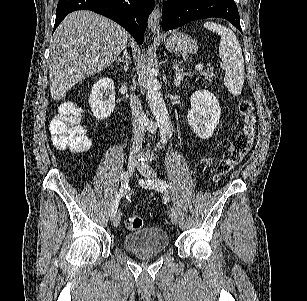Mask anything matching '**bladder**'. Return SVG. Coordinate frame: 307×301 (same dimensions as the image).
I'll use <instances>...</instances> for the list:
<instances>
[{
  "label": "bladder",
  "instance_id": "31cf9c89",
  "mask_svg": "<svg viewBox=\"0 0 307 301\" xmlns=\"http://www.w3.org/2000/svg\"><path fill=\"white\" fill-rule=\"evenodd\" d=\"M126 250L135 252H161L169 245V237L160 228L149 227L122 237Z\"/></svg>",
  "mask_w": 307,
  "mask_h": 301
}]
</instances>
